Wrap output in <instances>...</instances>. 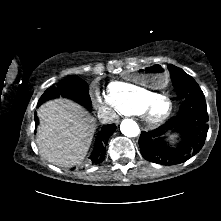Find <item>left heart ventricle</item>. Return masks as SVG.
Masks as SVG:
<instances>
[{"instance_id":"obj_1","label":"left heart ventricle","mask_w":221,"mask_h":221,"mask_svg":"<svg viewBox=\"0 0 221 221\" xmlns=\"http://www.w3.org/2000/svg\"><path fill=\"white\" fill-rule=\"evenodd\" d=\"M169 107H170L169 102L166 100H162L156 105L154 109V114L163 115L169 110Z\"/></svg>"}]
</instances>
